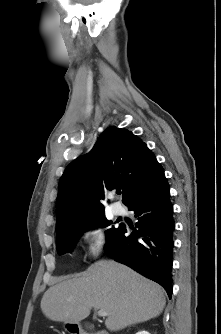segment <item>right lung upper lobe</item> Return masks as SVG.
Returning <instances> with one entry per match:
<instances>
[{
	"mask_svg": "<svg viewBox=\"0 0 221 334\" xmlns=\"http://www.w3.org/2000/svg\"><path fill=\"white\" fill-rule=\"evenodd\" d=\"M163 168L146 144L131 131L108 127L90 153L72 161L65 169L56 202V232L103 215L100 199L104 189L119 187L128 206L152 186Z\"/></svg>",
	"mask_w": 221,
	"mask_h": 334,
	"instance_id": "obj_1",
	"label": "right lung upper lobe"
}]
</instances>
